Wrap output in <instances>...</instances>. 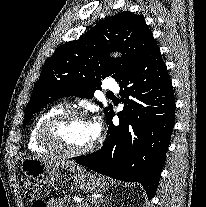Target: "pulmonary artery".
<instances>
[{"instance_id":"1","label":"pulmonary artery","mask_w":206,"mask_h":207,"mask_svg":"<svg viewBox=\"0 0 206 207\" xmlns=\"http://www.w3.org/2000/svg\"><path fill=\"white\" fill-rule=\"evenodd\" d=\"M107 87L113 92H118L119 90L118 85L116 83H109L107 84Z\"/></svg>"}]
</instances>
